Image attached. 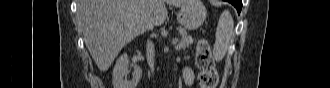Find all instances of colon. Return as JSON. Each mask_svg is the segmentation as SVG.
<instances>
[{"label":"colon","mask_w":330,"mask_h":88,"mask_svg":"<svg viewBox=\"0 0 330 88\" xmlns=\"http://www.w3.org/2000/svg\"><path fill=\"white\" fill-rule=\"evenodd\" d=\"M196 65L199 70V84L201 88H215L219 75L211 48L205 39H200L196 46Z\"/></svg>","instance_id":"obj_1"}]
</instances>
